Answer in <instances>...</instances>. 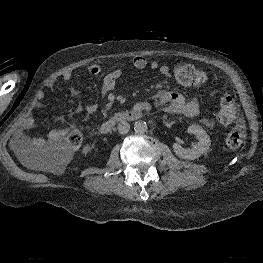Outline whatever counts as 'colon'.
<instances>
[{
	"label": "colon",
	"mask_w": 263,
	"mask_h": 263,
	"mask_svg": "<svg viewBox=\"0 0 263 263\" xmlns=\"http://www.w3.org/2000/svg\"><path fill=\"white\" fill-rule=\"evenodd\" d=\"M174 77L183 86H202L206 83L207 77L204 71L185 61H178L174 68ZM220 108L217 120L221 125H229L236 116V103L230 96H221ZM244 135L239 130H233L226 136L225 142L230 149H238L242 146ZM83 141L82 133L79 130H71L66 137L67 146L53 149L51 158L56 164H63L67 159L69 149H77Z\"/></svg>",
	"instance_id": "1"
}]
</instances>
